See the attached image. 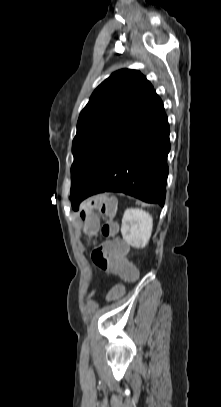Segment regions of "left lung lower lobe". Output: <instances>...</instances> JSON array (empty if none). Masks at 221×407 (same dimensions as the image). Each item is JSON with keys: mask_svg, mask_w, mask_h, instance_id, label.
Here are the masks:
<instances>
[{"mask_svg": "<svg viewBox=\"0 0 221 407\" xmlns=\"http://www.w3.org/2000/svg\"><path fill=\"white\" fill-rule=\"evenodd\" d=\"M169 125L154 91L121 133L88 183L71 200L74 210L87 197L123 192L148 203L165 202L170 151Z\"/></svg>", "mask_w": 221, "mask_h": 407, "instance_id": "obj_1", "label": "left lung lower lobe"}]
</instances>
